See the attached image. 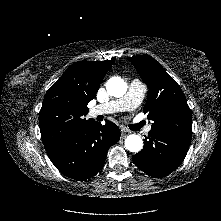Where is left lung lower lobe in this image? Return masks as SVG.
Masks as SVG:
<instances>
[{
    "label": "left lung lower lobe",
    "mask_w": 221,
    "mask_h": 221,
    "mask_svg": "<svg viewBox=\"0 0 221 221\" xmlns=\"http://www.w3.org/2000/svg\"><path fill=\"white\" fill-rule=\"evenodd\" d=\"M189 144V138L151 130L145 136L143 149L133 156V161L146 174L164 177L181 165Z\"/></svg>",
    "instance_id": "left-lung-lower-lobe-1"
}]
</instances>
